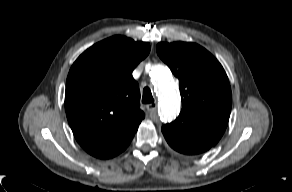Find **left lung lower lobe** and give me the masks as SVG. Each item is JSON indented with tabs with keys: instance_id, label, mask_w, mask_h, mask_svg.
<instances>
[{
	"instance_id": "left-lung-lower-lobe-1",
	"label": "left lung lower lobe",
	"mask_w": 292,
	"mask_h": 192,
	"mask_svg": "<svg viewBox=\"0 0 292 192\" xmlns=\"http://www.w3.org/2000/svg\"><path fill=\"white\" fill-rule=\"evenodd\" d=\"M162 132L167 143L174 150L183 154H189V155L200 154L202 152L207 151L208 149L212 147L203 143L189 141L187 139L181 138L165 130H162Z\"/></svg>"
}]
</instances>
